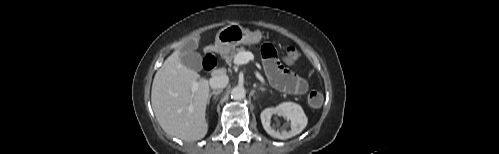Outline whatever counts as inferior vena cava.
Masks as SVG:
<instances>
[{
    "instance_id": "602c4592",
    "label": "inferior vena cava",
    "mask_w": 499,
    "mask_h": 154,
    "mask_svg": "<svg viewBox=\"0 0 499 154\" xmlns=\"http://www.w3.org/2000/svg\"><path fill=\"white\" fill-rule=\"evenodd\" d=\"M229 78L227 75H216L210 79V86L213 89H223L227 86Z\"/></svg>"
}]
</instances>
